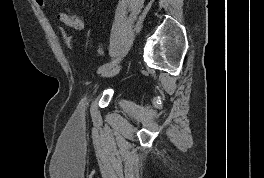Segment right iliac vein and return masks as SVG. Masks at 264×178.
I'll use <instances>...</instances> for the list:
<instances>
[{
	"label": "right iliac vein",
	"instance_id": "obj_1",
	"mask_svg": "<svg viewBox=\"0 0 264 178\" xmlns=\"http://www.w3.org/2000/svg\"><path fill=\"white\" fill-rule=\"evenodd\" d=\"M120 69H121L120 65H116V66L114 65L112 68L103 71L101 73V76L104 78L112 77L115 74H117L120 71Z\"/></svg>",
	"mask_w": 264,
	"mask_h": 178
}]
</instances>
